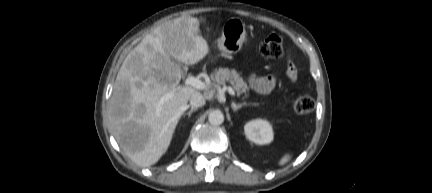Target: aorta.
<instances>
[{
	"label": "aorta",
	"instance_id": "1",
	"mask_svg": "<svg viewBox=\"0 0 432 193\" xmlns=\"http://www.w3.org/2000/svg\"><path fill=\"white\" fill-rule=\"evenodd\" d=\"M208 121L212 125H221L224 121V115L220 110H213L208 115Z\"/></svg>",
	"mask_w": 432,
	"mask_h": 193
}]
</instances>
